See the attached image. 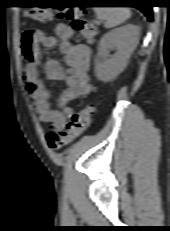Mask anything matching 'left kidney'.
I'll return each instance as SVG.
<instances>
[{
  "mask_svg": "<svg viewBox=\"0 0 170 231\" xmlns=\"http://www.w3.org/2000/svg\"><path fill=\"white\" fill-rule=\"evenodd\" d=\"M139 35L138 26L127 24L111 30L100 39L95 58V74L99 80L109 82L125 69L138 44ZM112 49H116V53L110 56Z\"/></svg>",
  "mask_w": 170,
  "mask_h": 231,
  "instance_id": "5707ae66",
  "label": "left kidney"
}]
</instances>
